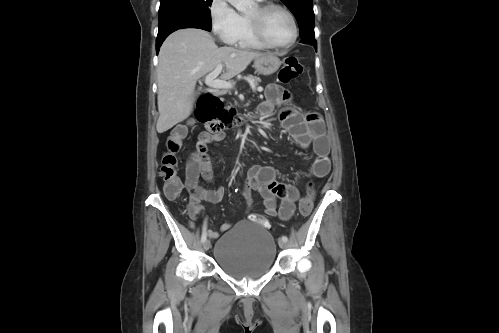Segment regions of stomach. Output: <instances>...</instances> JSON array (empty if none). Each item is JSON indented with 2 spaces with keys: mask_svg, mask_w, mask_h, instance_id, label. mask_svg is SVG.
I'll return each instance as SVG.
<instances>
[{
  "mask_svg": "<svg viewBox=\"0 0 499 333\" xmlns=\"http://www.w3.org/2000/svg\"><path fill=\"white\" fill-rule=\"evenodd\" d=\"M281 65L280 59L271 53H266L254 61L255 70L262 75H271L275 73Z\"/></svg>",
  "mask_w": 499,
  "mask_h": 333,
  "instance_id": "obj_1",
  "label": "stomach"
}]
</instances>
